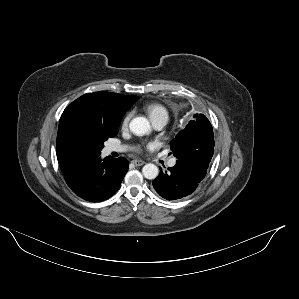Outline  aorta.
<instances>
[{
  "label": "aorta",
  "instance_id": "762f6f07",
  "mask_svg": "<svg viewBox=\"0 0 299 299\" xmlns=\"http://www.w3.org/2000/svg\"><path fill=\"white\" fill-rule=\"evenodd\" d=\"M130 131L137 135L142 136L150 132L151 127L149 121L145 117H135L129 124ZM143 176L146 179H155L159 174V169L155 164H146L142 168Z\"/></svg>",
  "mask_w": 299,
  "mask_h": 299
}]
</instances>
